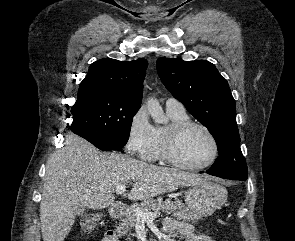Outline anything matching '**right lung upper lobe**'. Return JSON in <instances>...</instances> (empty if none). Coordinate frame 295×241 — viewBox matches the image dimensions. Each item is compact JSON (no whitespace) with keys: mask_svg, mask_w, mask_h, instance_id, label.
<instances>
[{"mask_svg":"<svg viewBox=\"0 0 295 241\" xmlns=\"http://www.w3.org/2000/svg\"><path fill=\"white\" fill-rule=\"evenodd\" d=\"M147 65L145 59L131 62L100 59L90 65L87 76L80 83L78 98L93 91H103L117 98L141 103Z\"/></svg>","mask_w":295,"mask_h":241,"instance_id":"cb5924a9","label":"right lung upper lobe"}]
</instances>
